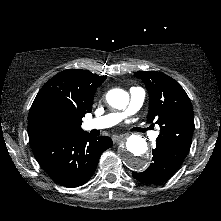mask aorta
I'll return each mask as SVG.
<instances>
[{"instance_id":"obj_1","label":"aorta","mask_w":221,"mask_h":221,"mask_svg":"<svg viewBox=\"0 0 221 221\" xmlns=\"http://www.w3.org/2000/svg\"><path fill=\"white\" fill-rule=\"evenodd\" d=\"M107 102L115 109H125L129 95L122 89H112L106 95ZM119 156L123 164L133 171H143L150 162L146 139L137 134L130 135L125 146L120 149Z\"/></svg>"}]
</instances>
